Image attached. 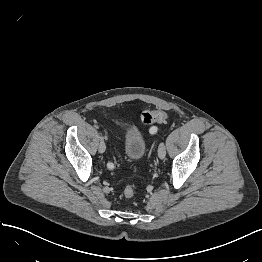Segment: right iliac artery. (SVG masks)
<instances>
[{
  "label": "right iliac artery",
  "instance_id": "1",
  "mask_svg": "<svg viewBox=\"0 0 262 262\" xmlns=\"http://www.w3.org/2000/svg\"><path fill=\"white\" fill-rule=\"evenodd\" d=\"M107 166H108L109 169L114 168V165L112 163H108Z\"/></svg>",
  "mask_w": 262,
  "mask_h": 262
}]
</instances>
